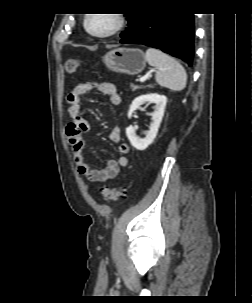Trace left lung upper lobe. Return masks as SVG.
Instances as JSON below:
<instances>
[{
	"instance_id": "5c2ea615",
	"label": "left lung upper lobe",
	"mask_w": 252,
	"mask_h": 303,
	"mask_svg": "<svg viewBox=\"0 0 252 303\" xmlns=\"http://www.w3.org/2000/svg\"><path fill=\"white\" fill-rule=\"evenodd\" d=\"M141 15H142V12H138V13H133V14H129L126 16L128 19V27L126 28V30L124 32L121 33L122 39L126 38L133 31V29L138 24V22L141 18Z\"/></svg>"
}]
</instances>
